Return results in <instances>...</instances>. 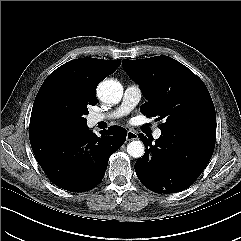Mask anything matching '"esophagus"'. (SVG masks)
I'll list each match as a JSON object with an SVG mask.
<instances>
[{
	"instance_id": "obj_1",
	"label": "esophagus",
	"mask_w": 241,
	"mask_h": 241,
	"mask_svg": "<svg viewBox=\"0 0 241 241\" xmlns=\"http://www.w3.org/2000/svg\"><path fill=\"white\" fill-rule=\"evenodd\" d=\"M126 139L128 141L136 140L138 139V134L132 130L127 131Z\"/></svg>"
}]
</instances>
